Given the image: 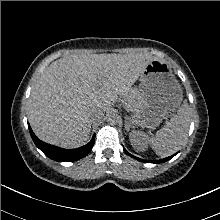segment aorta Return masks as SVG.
<instances>
[{"label": "aorta", "instance_id": "aorta-1", "mask_svg": "<svg viewBox=\"0 0 220 220\" xmlns=\"http://www.w3.org/2000/svg\"><path fill=\"white\" fill-rule=\"evenodd\" d=\"M107 121H108L110 124H115V123H117V121H118V114L115 113V112H110V113L107 115Z\"/></svg>", "mask_w": 220, "mask_h": 220}]
</instances>
